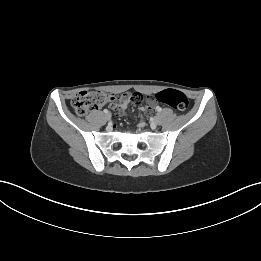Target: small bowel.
<instances>
[{"mask_svg":"<svg viewBox=\"0 0 261 261\" xmlns=\"http://www.w3.org/2000/svg\"><path fill=\"white\" fill-rule=\"evenodd\" d=\"M154 101V98L148 97L146 94L128 92L120 94L118 103H113L111 107L120 113L128 109L131 102L137 106H142L141 111L146 113L152 110Z\"/></svg>","mask_w":261,"mask_h":261,"instance_id":"obj_1","label":"small bowel"}]
</instances>
